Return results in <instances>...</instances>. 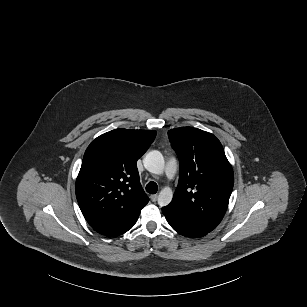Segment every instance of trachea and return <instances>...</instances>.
<instances>
[{
	"mask_svg": "<svg viewBox=\"0 0 307 307\" xmlns=\"http://www.w3.org/2000/svg\"><path fill=\"white\" fill-rule=\"evenodd\" d=\"M157 189V184L154 181H151L146 185V191L150 194H155Z\"/></svg>",
	"mask_w": 307,
	"mask_h": 307,
	"instance_id": "obj_1",
	"label": "trachea"
}]
</instances>
